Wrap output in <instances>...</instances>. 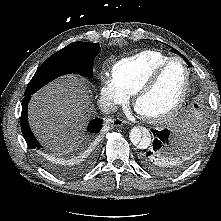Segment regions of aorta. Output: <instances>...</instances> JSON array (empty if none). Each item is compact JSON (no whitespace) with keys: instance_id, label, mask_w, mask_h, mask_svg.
I'll return each mask as SVG.
<instances>
[{"instance_id":"762f6f07","label":"aorta","mask_w":221,"mask_h":221,"mask_svg":"<svg viewBox=\"0 0 221 221\" xmlns=\"http://www.w3.org/2000/svg\"><path fill=\"white\" fill-rule=\"evenodd\" d=\"M130 141L139 149H147L151 144V134L146 129L134 127L130 130Z\"/></svg>"}]
</instances>
